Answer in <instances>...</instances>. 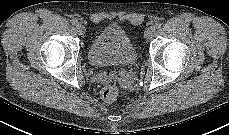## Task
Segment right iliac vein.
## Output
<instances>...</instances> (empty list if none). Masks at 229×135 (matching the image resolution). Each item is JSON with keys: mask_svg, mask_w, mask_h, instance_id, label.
Instances as JSON below:
<instances>
[{"mask_svg": "<svg viewBox=\"0 0 229 135\" xmlns=\"http://www.w3.org/2000/svg\"><path fill=\"white\" fill-rule=\"evenodd\" d=\"M85 31H86V29H85L84 25H82V24H78L77 25V32L80 35H84L85 34Z\"/></svg>", "mask_w": 229, "mask_h": 135, "instance_id": "1", "label": "right iliac vein"}]
</instances>
